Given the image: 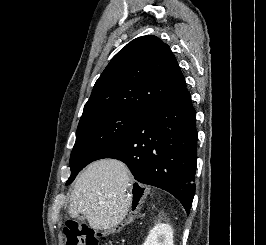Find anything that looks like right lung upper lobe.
<instances>
[{"instance_id":"cb5924a9","label":"right lung upper lobe","mask_w":266,"mask_h":245,"mask_svg":"<svg viewBox=\"0 0 266 245\" xmlns=\"http://www.w3.org/2000/svg\"><path fill=\"white\" fill-rule=\"evenodd\" d=\"M185 86L169 46L153 35L138 37L105 68L84 106L82 117L110 109L146 113Z\"/></svg>"}]
</instances>
